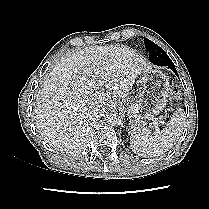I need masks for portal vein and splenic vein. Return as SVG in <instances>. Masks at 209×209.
<instances>
[{
    "instance_id": "18ae733b",
    "label": "portal vein and splenic vein",
    "mask_w": 209,
    "mask_h": 209,
    "mask_svg": "<svg viewBox=\"0 0 209 209\" xmlns=\"http://www.w3.org/2000/svg\"><path fill=\"white\" fill-rule=\"evenodd\" d=\"M160 123L163 124V125L166 124L165 121H160ZM153 126L155 127L156 132L159 133L160 129L158 127V122L156 120L153 122Z\"/></svg>"
}]
</instances>
